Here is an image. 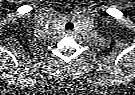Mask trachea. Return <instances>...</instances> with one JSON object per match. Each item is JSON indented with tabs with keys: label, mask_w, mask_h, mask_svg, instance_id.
I'll list each match as a JSON object with an SVG mask.
<instances>
[{
	"label": "trachea",
	"mask_w": 135,
	"mask_h": 95,
	"mask_svg": "<svg viewBox=\"0 0 135 95\" xmlns=\"http://www.w3.org/2000/svg\"><path fill=\"white\" fill-rule=\"evenodd\" d=\"M74 28V25H73V23L72 22H67L66 24H65V29L66 30H72Z\"/></svg>",
	"instance_id": "obj_1"
}]
</instances>
